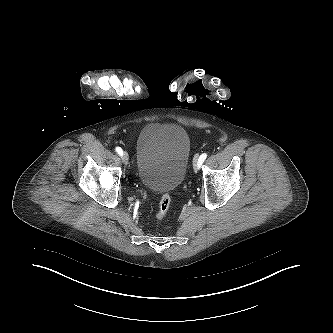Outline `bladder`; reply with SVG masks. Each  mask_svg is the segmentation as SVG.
<instances>
[{
	"instance_id": "bladder-1",
	"label": "bladder",
	"mask_w": 333,
	"mask_h": 333,
	"mask_svg": "<svg viewBox=\"0 0 333 333\" xmlns=\"http://www.w3.org/2000/svg\"><path fill=\"white\" fill-rule=\"evenodd\" d=\"M190 152V138L183 127L166 123L145 128L136 152L140 183L156 193L175 190L185 179Z\"/></svg>"
}]
</instances>
